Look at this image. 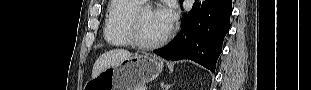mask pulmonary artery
<instances>
[{"label":"pulmonary artery","instance_id":"obj_1","mask_svg":"<svg viewBox=\"0 0 311 90\" xmlns=\"http://www.w3.org/2000/svg\"><path fill=\"white\" fill-rule=\"evenodd\" d=\"M140 1H142V2H146L147 0H140Z\"/></svg>","mask_w":311,"mask_h":90}]
</instances>
